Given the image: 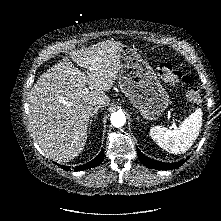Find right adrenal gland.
Returning a JSON list of instances; mask_svg holds the SVG:
<instances>
[{
    "instance_id": "obj_1",
    "label": "right adrenal gland",
    "mask_w": 221,
    "mask_h": 221,
    "mask_svg": "<svg viewBox=\"0 0 221 221\" xmlns=\"http://www.w3.org/2000/svg\"><path fill=\"white\" fill-rule=\"evenodd\" d=\"M102 106H95V108L93 109V112L91 114V118L89 120V125H91V123L94 121V119H96V116L98 114V110L101 108Z\"/></svg>"
}]
</instances>
